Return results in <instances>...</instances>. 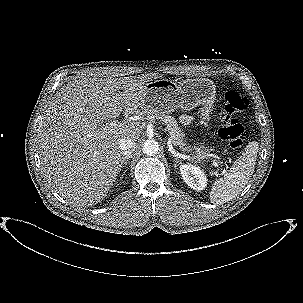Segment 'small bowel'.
<instances>
[{
  "label": "small bowel",
  "instance_id": "obj_1",
  "mask_svg": "<svg viewBox=\"0 0 303 303\" xmlns=\"http://www.w3.org/2000/svg\"><path fill=\"white\" fill-rule=\"evenodd\" d=\"M192 121V118L188 115L181 116V122L184 124H189Z\"/></svg>",
  "mask_w": 303,
  "mask_h": 303
}]
</instances>
